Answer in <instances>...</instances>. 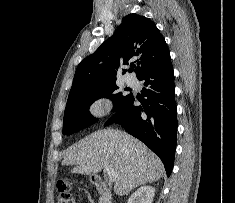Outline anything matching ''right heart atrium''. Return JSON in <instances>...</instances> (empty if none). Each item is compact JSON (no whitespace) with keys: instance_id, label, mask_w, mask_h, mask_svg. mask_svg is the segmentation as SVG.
<instances>
[{"instance_id":"1","label":"right heart atrium","mask_w":235,"mask_h":203,"mask_svg":"<svg viewBox=\"0 0 235 203\" xmlns=\"http://www.w3.org/2000/svg\"><path fill=\"white\" fill-rule=\"evenodd\" d=\"M110 102L105 97L95 99L89 107V111L94 116H101L110 110Z\"/></svg>"}]
</instances>
